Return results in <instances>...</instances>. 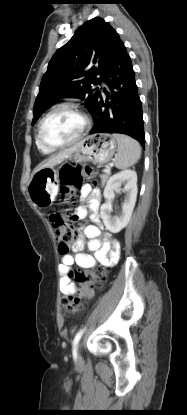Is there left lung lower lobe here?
<instances>
[{
    "label": "left lung lower lobe",
    "mask_w": 187,
    "mask_h": 415,
    "mask_svg": "<svg viewBox=\"0 0 187 415\" xmlns=\"http://www.w3.org/2000/svg\"><path fill=\"white\" fill-rule=\"evenodd\" d=\"M110 92L104 103L100 93L92 117L94 126L90 134L121 133L132 136L144 147L142 106L135 81V72L123 42L115 39L102 79ZM108 99L111 101L109 102Z\"/></svg>",
    "instance_id": "0a47b994"
}]
</instances>
